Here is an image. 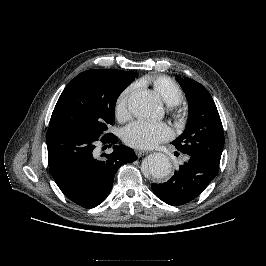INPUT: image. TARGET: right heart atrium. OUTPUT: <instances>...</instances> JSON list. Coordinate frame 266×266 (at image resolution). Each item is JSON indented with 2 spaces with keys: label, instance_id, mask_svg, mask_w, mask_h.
I'll list each match as a JSON object with an SVG mask.
<instances>
[{
  "label": "right heart atrium",
  "instance_id": "1",
  "mask_svg": "<svg viewBox=\"0 0 266 266\" xmlns=\"http://www.w3.org/2000/svg\"><path fill=\"white\" fill-rule=\"evenodd\" d=\"M132 88L124 89L117 97L115 102V116L120 121H125L129 117V101Z\"/></svg>",
  "mask_w": 266,
  "mask_h": 266
}]
</instances>
